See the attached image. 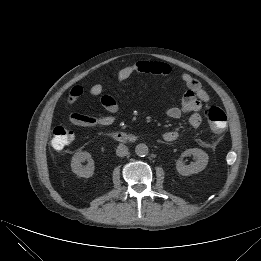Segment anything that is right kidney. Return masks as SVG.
<instances>
[{"label":"right kidney","mask_w":261,"mask_h":261,"mask_svg":"<svg viewBox=\"0 0 261 261\" xmlns=\"http://www.w3.org/2000/svg\"><path fill=\"white\" fill-rule=\"evenodd\" d=\"M87 160L88 164L86 167H82L81 162ZM71 169L79 177L89 178L94 174V162L91 157V154L83 151L77 152L72 157Z\"/></svg>","instance_id":"1"}]
</instances>
